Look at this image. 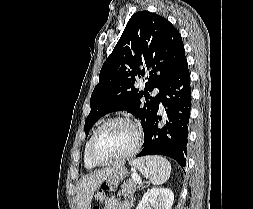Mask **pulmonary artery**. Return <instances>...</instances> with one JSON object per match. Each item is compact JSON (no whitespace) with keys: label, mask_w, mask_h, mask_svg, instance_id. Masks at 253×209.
<instances>
[{"label":"pulmonary artery","mask_w":253,"mask_h":209,"mask_svg":"<svg viewBox=\"0 0 253 209\" xmlns=\"http://www.w3.org/2000/svg\"><path fill=\"white\" fill-rule=\"evenodd\" d=\"M157 93V90H155L154 92H153V94H156Z\"/></svg>","instance_id":"pulmonary-artery-1"}]
</instances>
